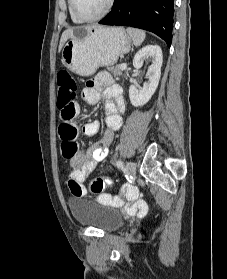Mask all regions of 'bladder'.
<instances>
[{"mask_svg":"<svg viewBox=\"0 0 227 279\" xmlns=\"http://www.w3.org/2000/svg\"><path fill=\"white\" fill-rule=\"evenodd\" d=\"M69 208L79 225L102 229L112 232L123 224V217L117 208L101 204L93 199L70 197Z\"/></svg>","mask_w":227,"mask_h":279,"instance_id":"31cf9c89","label":"bladder"}]
</instances>
